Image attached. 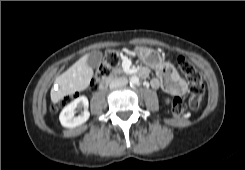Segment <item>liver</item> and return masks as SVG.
I'll return each instance as SVG.
<instances>
[{
    "label": "liver",
    "mask_w": 245,
    "mask_h": 170,
    "mask_svg": "<svg viewBox=\"0 0 245 170\" xmlns=\"http://www.w3.org/2000/svg\"><path fill=\"white\" fill-rule=\"evenodd\" d=\"M88 54L81 57L68 70L58 76L50 96L53 103L75 92L85 90L93 76V69L87 65Z\"/></svg>",
    "instance_id": "liver-1"
}]
</instances>
